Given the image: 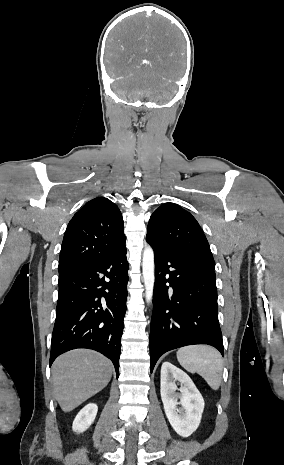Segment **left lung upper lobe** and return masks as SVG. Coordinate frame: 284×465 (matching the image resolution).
<instances>
[{
  "instance_id": "1",
  "label": "left lung upper lobe",
  "mask_w": 284,
  "mask_h": 465,
  "mask_svg": "<svg viewBox=\"0 0 284 465\" xmlns=\"http://www.w3.org/2000/svg\"><path fill=\"white\" fill-rule=\"evenodd\" d=\"M146 239L169 253L215 268L209 243L199 223L175 203H164L155 210L149 220Z\"/></svg>"
}]
</instances>
